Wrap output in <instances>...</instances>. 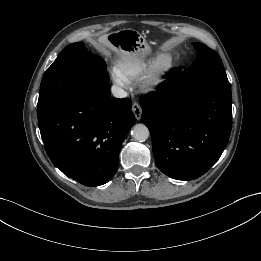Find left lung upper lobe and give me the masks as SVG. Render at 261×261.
I'll return each instance as SVG.
<instances>
[{
  "mask_svg": "<svg viewBox=\"0 0 261 261\" xmlns=\"http://www.w3.org/2000/svg\"><path fill=\"white\" fill-rule=\"evenodd\" d=\"M197 57L190 68L183 71L184 81H188L195 74L205 70H217L224 72L219 55L204 44L194 43Z\"/></svg>",
  "mask_w": 261,
  "mask_h": 261,
  "instance_id": "1",
  "label": "left lung upper lobe"
}]
</instances>
